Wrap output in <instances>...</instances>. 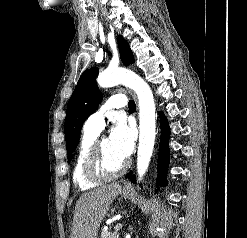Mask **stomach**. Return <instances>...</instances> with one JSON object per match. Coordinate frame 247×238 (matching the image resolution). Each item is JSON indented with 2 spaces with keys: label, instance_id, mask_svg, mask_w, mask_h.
I'll return each instance as SVG.
<instances>
[{
  "label": "stomach",
  "instance_id": "stomach-1",
  "mask_svg": "<svg viewBox=\"0 0 247 238\" xmlns=\"http://www.w3.org/2000/svg\"><path fill=\"white\" fill-rule=\"evenodd\" d=\"M129 196H130V192H128V191H126V190H123V191H122V197H123L124 199L129 198Z\"/></svg>",
  "mask_w": 247,
  "mask_h": 238
}]
</instances>
